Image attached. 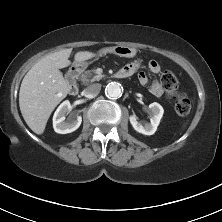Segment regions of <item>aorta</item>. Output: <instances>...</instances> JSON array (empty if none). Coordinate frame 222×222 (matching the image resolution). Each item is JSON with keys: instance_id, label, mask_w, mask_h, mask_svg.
I'll return each mask as SVG.
<instances>
[{"instance_id": "aorta-1", "label": "aorta", "mask_w": 222, "mask_h": 222, "mask_svg": "<svg viewBox=\"0 0 222 222\" xmlns=\"http://www.w3.org/2000/svg\"><path fill=\"white\" fill-rule=\"evenodd\" d=\"M105 93L110 98H119L122 95L121 85L116 82H111L106 86Z\"/></svg>"}]
</instances>
